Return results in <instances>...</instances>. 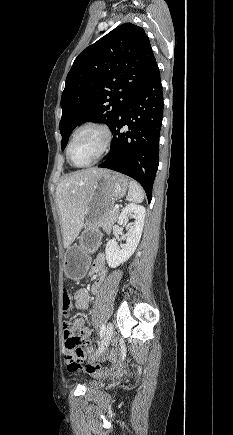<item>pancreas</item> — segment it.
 <instances>
[{
    "instance_id": "cf45deb5",
    "label": "pancreas",
    "mask_w": 233,
    "mask_h": 435,
    "mask_svg": "<svg viewBox=\"0 0 233 435\" xmlns=\"http://www.w3.org/2000/svg\"><path fill=\"white\" fill-rule=\"evenodd\" d=\"M119 215V210L111 207L107 213V216L104 220V222L102 223V227L105 231H109L111 228V225L114 223V221L117 219Z\"/></svg>"
}]
</instances>
